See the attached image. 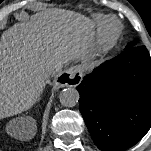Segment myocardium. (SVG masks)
Segmentation results:
<instances>
[{
	"label": "myocardium",
	"mask_w": 151,
	"mask_h": 151,
	"mask_svg": "<svg viewBox=\"0 0 151 151\" xmlns=\"http://www.w3.org/2000/svg\"><path fill=\"white\" fill-rule=\"evenodd\" d=\"M113 19H106L97 36L94 50L98 55H103L108 53L116 44L120 34H121V25L118 22L113 24Z\"/></svg>",
	"instance_id": "myocardium-1"
}]
</instances>
